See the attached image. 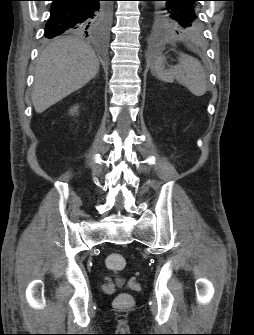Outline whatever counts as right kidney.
I'll list each match as a JSON object with an SVG mask.
<instances>
[{
    "instance_id": "ca27d5eb",
    "label": "right kidney",
    "mask_w": 254,
    "mask_h": 335,
    "mask_svg": "<svg viewBox=\"0 0 254 335\" xmlns=\"http://www.w3.org/2000/svg\"><path fill=\"white\" fill-rule=\"evenodd\" d=\"M78 109H79V106H78V105L73 106V107L70 109L69 113H70L72 116H74L75 114L78 113Z\"/></svg>"
}]
</instances>
